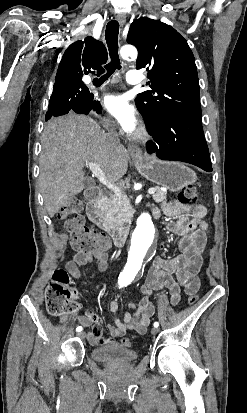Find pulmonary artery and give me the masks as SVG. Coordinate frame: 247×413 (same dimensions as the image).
<instances>
[{"mask_svg":"<svg viewBox=\"0 0 247 413\" xmlns=\"http://www.w3.org/2000/svg\"><path fill=\"white\" fill-rule=\"evenodd\" d=\"M140 75V70L138 69H131L130 72L127 74V80L131 83H134L135 86H140L143 81L146 80V75L141 74ZM84 84L89 88L93 89V84H92V77L90 75H86L83 79Z\"/></svg>","mask_w":247,"mask_h":413,"instance_id":"1","label":"pulmonary artery"}]
</instances>
